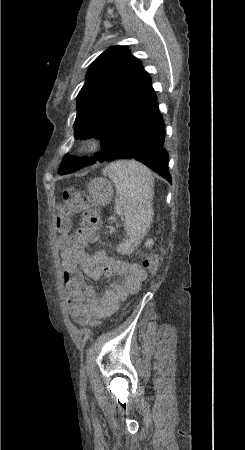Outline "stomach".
I'll return each instance as SVG.
<instances>
[{
    "mask_svg": "<svg viewBox=\"0 0 245 450\" xmlns=\"http://www.w3.org/2000/svg\"><path fill=\"white\" fill-rule=\"evenodd\" d=\"M92 200L99 206L108 205L114 195V189L111 183L103 178H95L87 186Z\"/></svg>",
    "mask_w": 245,
    "mask_h": 450,
    "instance_id": "stomach-1",
    "label": "stomach"
}]
</instances>
